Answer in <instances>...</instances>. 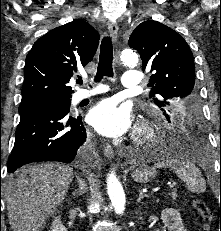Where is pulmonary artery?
I'll return each instance as SVG.
<instances>
[{"label":"pulmonary artery","instance_id":"obj_1","mask_svg":"<svg viewBox=\"0 0 221 231\" xmlns=\"http://www.w3.org/2000/svg\"><path fill=\"white\" fill-rule=\"evenodd\" d=\"M142 83V76L137 71H126L123 75L122 85L124 88H136L139 87ZM106 91V88L98 86L94 89L79 90L73 96V103H78L79 101L89 98L93 95Z\"/></svg>","mask_w":221,"mask_h":231}]
</instances>
